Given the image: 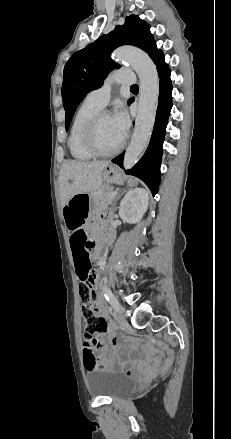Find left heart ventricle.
<instances>
[{"label":"left heart ventricle","mask_w":231,"mask_h":439,"mask_svg":"<svg viewBox=\"0 0 231 439\" xmlns=\"http://www.w3.org/2000/svg\"><path fill=\"white\" fill-rule=\"evenodd\" d=\"M96 140L99 147L106 151L114 149L121 143L113 126L111 116L101 118L96 131Z\"/></svg>","instance_id":"b2bd125f"}]
</instances>
